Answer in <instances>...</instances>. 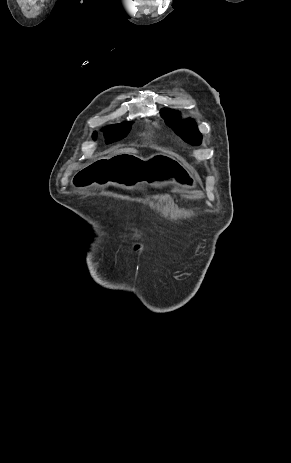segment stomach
Here are the masks:
<instances>
[{
    "label": "stomach",
    "instance_id": "obj_1",
    "mask_svg": "<svg viewBox=\"0 0 291 463\" xmlns=\"http://www.w3.org/2000/svg\"><path fill=\"white\" fill-rule=\"evenodd\" d=\"M96 183L115 184L126 189L142 185L155 187L176 185L183 188H195L198 179L180 158L155 153L142 158L128 151L113 157H95L94 162L76 174L73 186L83 187Z\"/></svg>",
    "mask_w": 291,
    "mask_h": 463
}]
</instances>
